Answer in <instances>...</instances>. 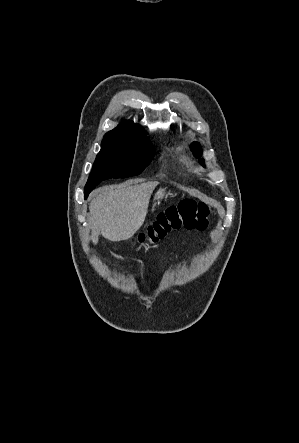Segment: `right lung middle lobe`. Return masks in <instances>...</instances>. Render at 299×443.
Listing matches in <instances>:
<instances>
[{"mask_svg":"<svg viewBox=\"0 0 299 443\" xmlns=\"http://www.w3.org/2000/svg\"><path fill=\"white\" fill-rule=\"evenodd\" d=\"M143 130L136 135L104 138L84 189L85 198L101 181L140 174L150 163L153 147Z\"/></svg>","mask_w":299,"mask_h":443,"instance_id":"obj_1","label":"right lung middle lobe"}]
</instances>
